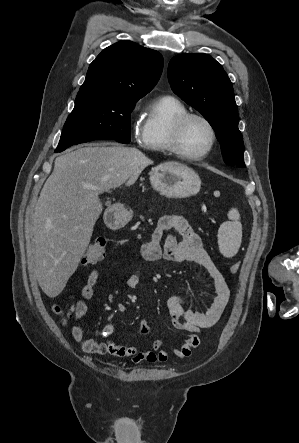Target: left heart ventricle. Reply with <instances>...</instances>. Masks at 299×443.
Returning a JSON list of instances; mask_svg holds the SVG:
<instances>
[{
	"mask_svg": "<svg viewBox=\"0 0 299 443\" xmlns=\"http://www.w3.org/2000/svg\"><path fill=\"white\" fill-rule=\"evenodd\" d=\"M210 144V132L206 124L192 118L186 123L182 136L181 146L185 152L192 155L203 153Z\"/></svg>",
	"mask_w": 299,
	"mask_h": 443,
	"instance_id": "1",
	"label": "left heart ventricle"
}]
</instances>
